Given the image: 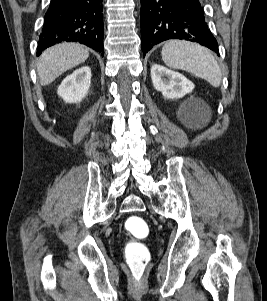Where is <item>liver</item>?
I'll return each instance as SVG.
<instances>
[{
	"mask_svg": "<svg viewBox=\"0 0 267 301\" xmlns=\"http://www.w3.org/2000/svg\"><path fill=\"white\" fill-rule=\"evenodd\" d=\"M89 51L78 43H61L46 49L37 61L42 86L49 85L61 74L83 63Z\"/></svg>",
	"mask_w": 267,
	"mask_h": 301,
	"instance_id": "6515ba94",
	"label": "liver"
}]
</instances>
